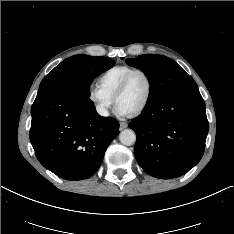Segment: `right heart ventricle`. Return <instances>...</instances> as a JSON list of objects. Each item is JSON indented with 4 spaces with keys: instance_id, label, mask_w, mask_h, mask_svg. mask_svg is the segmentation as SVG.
I'll use <instances>...</instances> for the list:
<instances>
[{
    "instance_id": "1",
    "label": "right heart ventricle",
    "mask_w": 234,
    "mask_h": 234,
    "mask_svg": "<svg viewBox=\"0 0 234 234\" xmlns=\"http://www.w3.org/2000/svg\"><path fill=\"white\" fill-rule=\"evenodd\" d=\"M133 69V67L127 65L112 66L99 76L98 86L113 99V95L124 77Z\"/></svg>"
}]
</instances>
